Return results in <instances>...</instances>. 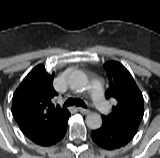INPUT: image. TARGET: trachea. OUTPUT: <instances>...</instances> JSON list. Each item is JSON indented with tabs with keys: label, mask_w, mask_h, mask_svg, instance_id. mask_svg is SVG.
Returning <instances> with one entry per match:
<instances>
[{
	"label": "trachea",
	"mask_w": 160,
	"mask_h": 158,
	"mask_svg": "<svg viewBox=\"0 0 160 158\" xmlns=\"http://www.w3.org/2000/svg\"><path fill=\"white\" fill-rule=\"evenodd\" d=\"M76 105V106H81V107H86V105L79 99H73V98H69L66 102H65V106H70V105Z\"/></svg>",
	"instance_id": "3493384b"
}]
</instances>
